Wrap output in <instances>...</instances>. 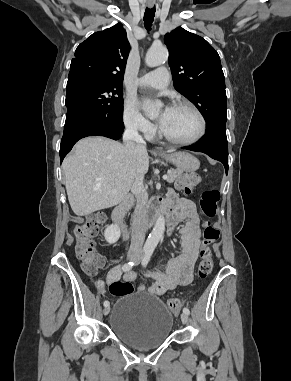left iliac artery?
<instances>
[{
    "label": "left iliac artery",
    "instance_id": "obj_1",
    "mask_svg": "<svg viewBox=\"0 0 291 381\" xmlns=\"http://www.w3.org/2000/svg\"><path fill=\"white\" fill-rule=\"evenodd\" d=\"M152 253H153V250H147L145 252V255H144L143 259H142V266L143 267L147 266V264H148V262H149V260H150V258L152 256ZM183 312L188 314V315L190 314V311H189V309L187 307L183 308Z\"/></svg>",
    "mask_w": 291,
    "mask_h": 381
}]
</instances>
